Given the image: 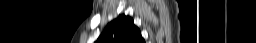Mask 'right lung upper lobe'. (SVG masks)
I'll list each match as a JSON object with an SVG mask.
<instances>
[{
    "instance_id": "1",
    "label": "right lung upper lobe",
    "mask_w": 256,
    "mask_h": 43,
    "mask_svg": "<svg viewBox=\"0 0 256 43\" xmlns=\"http://www.w3.org/2000/svg\"><path fill=\"white\" fill-rule=\"evenodd\" d=\"M97 43H145L140 30L129 16L120 15L107 25Z\"/></svg>"
}]
</instances>
